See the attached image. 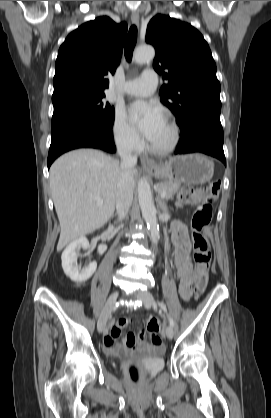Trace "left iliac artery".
Masks as SVG:
<instances>
[{"mask_svg": "<svg viewBox=\"0 0 271 418\" xmlns=\"http://www.w3.org/2000/svg\"><path fill=\"white\" fill-rule=\"evenodd\" d=\"M157 304L159 305V307L164 311V312H166L167 313V308H166V305L164 304V302H162V301H157ZM167 317H168V321H169V324H170V326L171 327H174V321H173V319L171 318V316L167 313Z\"/></svg>", "mask_w": 271, "mask_h": 418, "instance_id": "obj_1", "label": "left iliac artery"}]
</instances>
